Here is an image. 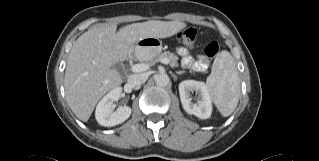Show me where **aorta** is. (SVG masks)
<instances>
[{
  "instance_id": "obj_1",
  "label": "aorta",
  "mask_w": 319,
  "mask_h": 161,
  "mask_svg": "<svg viewBox=\"0 0 319 161\" xmlns=\"http://www.w3.org/2000/svg\"><path fill=\"white\" fill-rule=\"evenodd\" d=\"M155 82L157 86L165 87L169 84L170 78L166 73H160L156 76Z\"/></svg>"
}]
</instances>
